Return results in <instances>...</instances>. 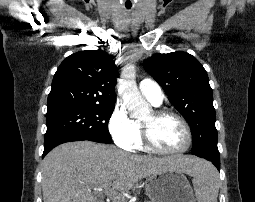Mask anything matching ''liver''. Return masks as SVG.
Returning <instances> with one entry per match:
<instances>
[{
  "label": "liver",
  "mask_w": 255,
  "mask_h": 202,
  "mask_svg": "<svg viewBox=\"0 0 255 202\" xmlns=\"http://www.w3.org/2000/svg\"><path fill=\"white\" fill-rule=\"evenodd\" d=\"M204 161L193 156L150 157L132 155L111 145L91 141L69 142L54 148L43 160L44 202H97L93 186L113 181L117 191L152 174L177 170L193 175Z\"/></svg>",
  "instance_id": "6515ba94"
}]
</instances>
